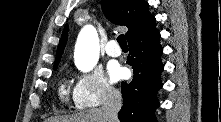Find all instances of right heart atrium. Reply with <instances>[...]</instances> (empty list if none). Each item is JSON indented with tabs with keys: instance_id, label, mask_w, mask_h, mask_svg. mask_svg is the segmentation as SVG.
I'll use <instances>...</instances> for the list:
<instances>
[{
	"instance_id": "obj_1",
	"label": "right heart atrium",
	"mask_w": 221,
	"mask_h": 122,
	"mask_svg": "<svg viewBox=\"0 0 221 122\" xmlns=\"http://www.w3.org/2000/svg\"><path fill=\"white\" fill-rule=\"evenodd\" d=\"M118 96V91L97 68L80 74L72 92L73 103L78 109L100 106L117 99Z\"/></svg>"
}]
</instances>
